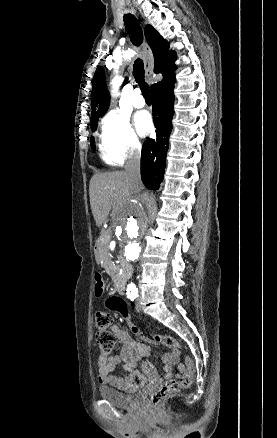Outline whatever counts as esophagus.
<instances>
[{"label":"esophagus","mask_w":277,"mask_h":438,"mask_svg":"<svg viewBox=\"0 0 277 438\" xmlns=\"http://www.w3.org/2000/svg\"><path fill=\"white\" fill-rule=\"evenodd\" d=\"M150 56H151V49L147 44H144L142 49V57L143 59H147Z\"/></svg>","instance_id":"obj_1"}]
</instances>
